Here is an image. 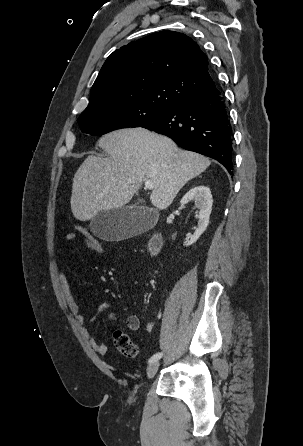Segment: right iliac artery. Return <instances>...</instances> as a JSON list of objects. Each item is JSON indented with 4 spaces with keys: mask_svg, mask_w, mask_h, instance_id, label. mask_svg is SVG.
Listing matches in <instances>:
<instances>
[{
    "mask_svg": "<svg viewBox=\"0 0 303 446\" xmlns=\"http://www.w3.org/2000/svg\"><path fill=\"white\" fill-rule=\"evenodd\" d=\"M162 355H163V353L158 352V353L154 354V355L149 359L148 362H149V363L156 362V361H158V360L162 357Z\"/></svg>",
    "mask_w": 303,
    "mask_h": 446,
    "instance_id": "82829eb1",
    "label": "right iliac artery"
}]
</instances>
